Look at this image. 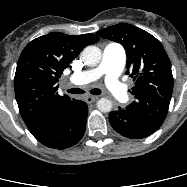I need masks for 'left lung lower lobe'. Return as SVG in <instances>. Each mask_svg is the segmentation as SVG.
<instances>
[{"label": "left lung lower lobe", "instance_id": "1", "mask_svg": "<svg viewBox=\"0 0 187 187\" xmlns=\"http://www.w3.org/2000/svg\"><path fill=\"white\" fill-rule=\"evenodd\" d=\"M109 122L117 133L133 139L147 137L159 129L123 109L112 111L109 114Z\"/></svg>", "mask_w": 187, "mask_h": 187}]
</instances>
